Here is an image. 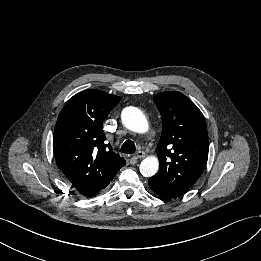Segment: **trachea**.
<instances>
[{
	"label": "trachea",
	"instance_id": "3493384b",
	"mask_svg": "<svg viewBox=\"0 0 261 261\" xmlns=\"http://www.w3.org/2000/svg\"><path fill=\"white\" fill-rule=\"evenodd\" d=\"M122 153L133 154L136 151V147L133 141L127 140L123 143L121 150Z\"/></svg>",
	"mask_w": 261,
	"mask_h": 261
}]
</instances>
